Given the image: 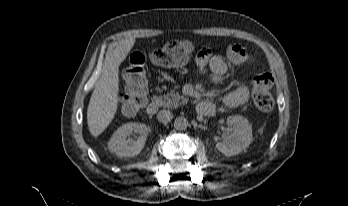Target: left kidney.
<instances>
[{
	"label": "left kidney",
	"instance_id": "left-kidney-1",
	"mask_svg": "<svg viewBox=\"0 0 348 206\" xmlns=\"http://www.w3.org/2000/svg\"><path fill=\"white\" fill-rule=\"evenodd\" d=\"M227 124L233 130L226 132L222 141H217L216 149L226 156H234L245 150L252 142V126L243 116L235 115L227 118Z\"/></svg>",
	"mask_w": 348,
	"mask_h": 206
}]
</instances>
